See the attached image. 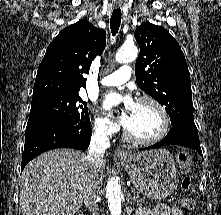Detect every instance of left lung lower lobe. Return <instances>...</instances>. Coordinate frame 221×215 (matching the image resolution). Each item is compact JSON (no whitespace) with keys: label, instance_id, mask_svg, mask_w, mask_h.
Listing matches in <instances>:
<instances>
[{"label":"left lung lower lobe","instance_id":"obj_1","mask_svg":"<svg viewBox=\"0 0 221 215\" xmlns=\"http://www.w3.org/2000/svg\"><path fill=\"white\" fill-rule=\"evenodd\" d=\"M172 144L194 149L203 157L198 137V130L195 125L173 126L162 141L152 146L141 148L139 150L157 149Z\"/></svg>","mask_w":221,"mask_h":215}]
</instances>
